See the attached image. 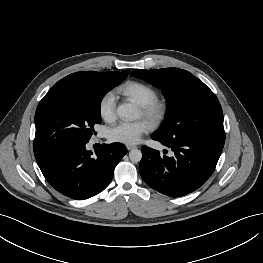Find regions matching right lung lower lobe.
I'll use <instances>...</instances> for the list:
<instances>
[{"label": "right lung lower lobe", "instance_id": "right-lung-lower-lobe-1", "mask_svg": "<svg viewBox=\"0 0 263 263\" xmlns=\"http://www.w3.org/2000/svg\"><path fill=\"white\" fill-rule=\"evenodd\" d=\"M87 142L66 145L36 158L48 182L61 194L76 200L88 199L110 183L115 166L126 154L121 143L103 144L86 150Z\"/></svg>", "mask_w": 263, "mask_h": 263}]
</instances>
